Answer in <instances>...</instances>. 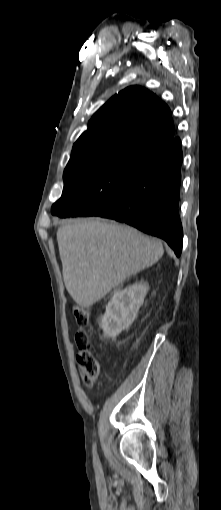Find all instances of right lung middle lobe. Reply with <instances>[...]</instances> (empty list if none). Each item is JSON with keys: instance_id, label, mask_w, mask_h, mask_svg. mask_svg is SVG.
<instances>
[{"instance_id": "obj_1", "label": "right lung middle lobe", "mask_w": 221, "mask_h": 510, "mask_svg": "<svg viewBox=\"0 0 221 510\" xmlns=\"http://www.w3.org/2000/svg\"><path fill=\"white\" fill-rule=\"evenodd\" d=\"M150 152L123 147L69 160L63 193L52 214L67 216L79 206L88 211L109 206L125 192Z\"/></svg>"}]
</instances>
